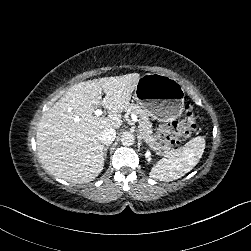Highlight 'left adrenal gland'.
<instances>
[{
	"instance_id": "left-adrenal-gland-1",
	"label": "left adrenal gland",
	"mask_w": 251,
	"mask_h": 251,
	"mask_svg": "<svg viewBox=\"0 0 251 251\" xmlns=\"http://www.w3.org/2000/svg\"><path fill=\"white\" fill-rule=\"evenodd\" d=\"M137 141H138V147H140L142 145V135H141V133L137 134Z\"/></svg>"
}]
</instances>
